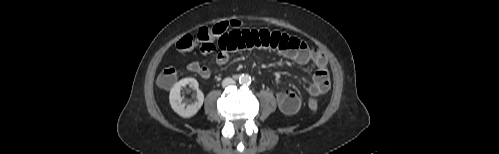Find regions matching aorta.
<instances>
[{"label": "aorta", "mask_w": 499, "mask_h": 154, "mask_svg": "<svg viewBox=\"0 0 499 154\" xmlns=\"http://www.w3.org/2000/svg\"><path fill=\"white\" fill-rule=\"evenodd\" d=\"M239 83L242 85H249L251 83V77L248 74H242L239 77Z\"/></svg>", "instance_id": "762f6f07"}]
</instances>
